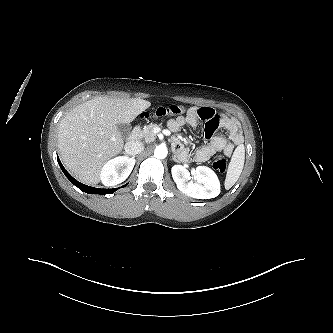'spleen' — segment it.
Wrapping results in <instances>:
<instances>
[{
    "mask_svg": "<svg viewBox=\"0 0 333 333\" xmlns=\"http://www.w3.org/2000/svg\"><path fill=\"white\" fill-rule=\"evenodd\" d=\"M244 147L239 146L232 155L225 179V188L230 189L239 179L244 167Z\"/></svg>",
    "mask_w": 333,
    "mask_h": 333,
    "instance_id": "obj_1",
    "label": "spleen"
}]
</instances>
